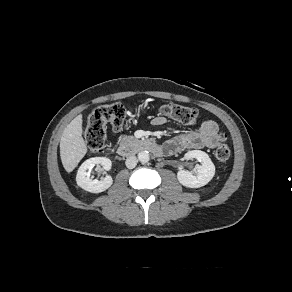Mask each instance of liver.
<instances>
[{
    "label": "liver",
    "mask_w": 292,
    "mask_h": 292,
    "mask_svg": "<svg viewBox=\"0 0 292 292\" xmlns=\"http://www.w3.org/2000/svg\"><path fill=\"white\" fill-rule=\"evenodd\" d=\"M82 115L75 117L64 129L60 140V158L66 172H72L86 155L87 143L82 137Z\"/></svg>",
    "instance_id": "liver-1"
}]
</instances>
